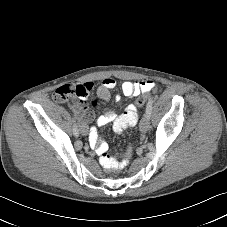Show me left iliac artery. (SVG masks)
<instances>
[{
    "mask_svg": "<svg viewBox=\"0 0 227 227\" xmlns=\"http://www.w3.org/2000/svg\"><path fill=\"white\" fill-rule=\"evenodd\" d=\"M152 105H153V99L151 98L146 106V114L150 117L151 113H152Z\"/></svg>",
    "mask_w": 227,
    "mask_h": 227,
    "instance_id": "obj_1",
    "label": "left iliac artery"
}]
</instances>
